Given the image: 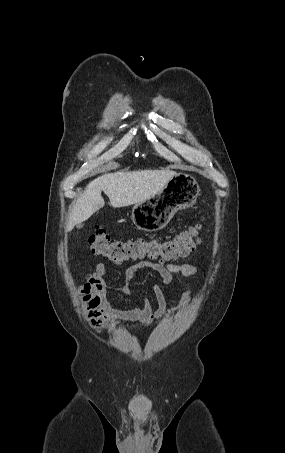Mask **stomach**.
<instances>
[{
	"label": "stomach",
	"mask_w": 285,
	"mask_h": 453,
	"mask_svg": "<svg viewBox=\"0 0 285 453\" xmlns=\"http://www.w3.org/2000/svg\"><path fill=\"white\" fill-rule=\"evenodd\" d=\"M199 191V185L191 175L177 173L156 195L134 205L133 223L143 231L161 230L178 210L195 203Z\"/></svg>",
	"instance_id": "stomach-1"
}]
</instances>
